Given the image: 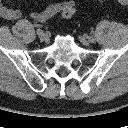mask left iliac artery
<instances>
[{"label":"left iliac artery","mask_w":128,"mask_h":128,"mask_svg":"<svg viewBox=\"0 0 128 128\" xmlns=\"http://www.w3.org/2000/svg\"><path fill=\"white\" fill-rule=\"evenodd\" d=\"M88 39H89L91 42H94V41H95V39H94L93 36H89Z\"/></svg>","instance_id":"1"}]
</instances>
